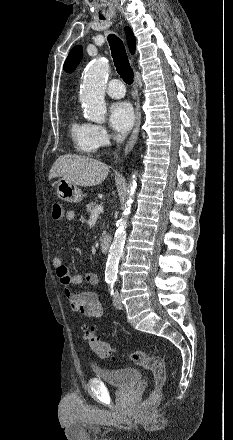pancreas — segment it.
Instances as JSON below:
<instances>
[{
    "label": "pancreas",
    "mask_w": 233,
    "mask_h": 440,
    "mask_svg": "<svg viewBox=\"0 0 233 440\" xmlns=\"http://www.w3.org/2000/svg\"><path fill=\"white\" fill-rule=\"evenodd\" d=\"M97 203L96 202H90L86 205V211L87 213L92 214L93 210L97 207ZM104 234V233H103Z\"/></svg>",
    "instance_id": "obj_1"
}]
</instances>
